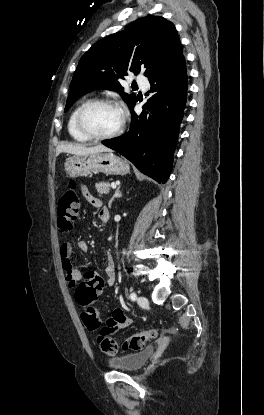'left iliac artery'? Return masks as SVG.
<instances>
[{
	"instance_id": "44dca946",
	"label": "left iliac artery",
	"mask_w": 264,
	"mask_h": 415,
	"mask_svg": "<svg viewBox=\"0 0 264 415\" xmlns=\"http://www.w3.org/2000/svg\"><path fill=\"white\" fill-rule=\"evenodd\" d=\"M136 298H137L136 293H135V292H132V293L130 294V299H131L132 301H135V300H136Z\"/></svg>"
}]
</instances>
